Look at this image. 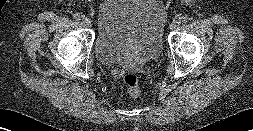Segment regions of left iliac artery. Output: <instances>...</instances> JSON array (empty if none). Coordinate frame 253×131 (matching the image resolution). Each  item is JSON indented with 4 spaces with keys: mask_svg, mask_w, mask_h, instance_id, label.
I'll list each match as a JSON object with an SVG mask.
<instances>
[{
    "mask_svg": "<svg viewBox=\"0 0 253 131\" xmlns=\"http://www.w3.org/2000/svg\"><path fill=\"white\" fill-rule=\"evenodd\" d=\"M189 20L188 16L179 17V23H186Z\"/></svg>",
    "mask_w": 253,
    "mask_h": 131,
    "instance_id": "44dca946",
    "label": "left iliac artery"
}]
</instances>
